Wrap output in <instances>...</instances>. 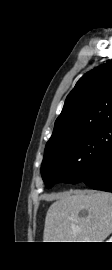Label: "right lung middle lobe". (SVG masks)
<instances>
[{
	"label": "right lung middle lobe",
	"mask_w": 112,
	"mask_h": 270,
	"mask_svg": "<svg viewBox=\"0 0 112 270\" xmlns=\"http://www.w3.org/2000/svg\"><path fill=\"white\" fill-rule=\"evenodd\" d=\"M111 146L112 123H109L45 149L41 174L46 187L58 182H81Z\"/></svg>",
	"instance_id": "right-lung-middle-lobe-1"
}]
</instances>
